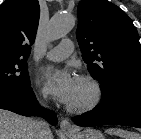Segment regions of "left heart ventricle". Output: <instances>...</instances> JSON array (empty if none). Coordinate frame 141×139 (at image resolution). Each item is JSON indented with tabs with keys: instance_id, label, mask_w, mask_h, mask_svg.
Listing matches in <instances>:
<instances>
[{
	"instance_id": "obj_1",
	"label": "left heart ventricle",
	"mask_w": 141,
	"mask_h": 139,
	"mask_svg": "<svg viewBox=\"0 0 141 139\" xmlns=\"http://www.w3.org/2000/svg\"><path fill=\"white\" fill-rule=\"evenodd\" d=\"M91 96V89L85 82L76 79L74 91L68 104L80 105L89 100Z\"/></svg>"
}]
</instances>
